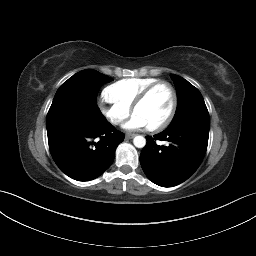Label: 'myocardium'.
Segmentation results:
<instances>
[{"label": "myocardium", "mask_w": 256, "mask_h": 256, "mask_svg": "<svg viewBox=\"0 0 256 256\" xmlns=\"http://www.w3.org/2000/svg\"><path fill=\"white\" fill-rule=\"evenodd\" d=\"M159 86H166L169 88V90L171 91L172 94V104L170 107V110L168 112V114L166 115V117L160 121L159 123L153 125V126H149L148 129L150 131H158L161 130L163 128H165L166 126L169 125V123L172 121L176 109H177V105H178V94L177 91L175 89V87L167 81H158L150 86H148L135 100V102L132 105V112H134L136 110L137 107H139L141 104H143L146 99L149 97V95Z\"/></svg>", "instance_id": "myocardium-1"}]
</instances>
